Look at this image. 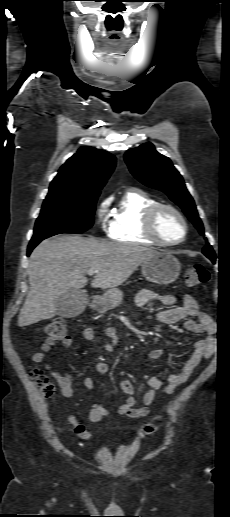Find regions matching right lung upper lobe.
Here are the masks:
<instances>
[{
	"instance_id": "obj_1",
	"label": "right lung upper lobe",
	"mask_w": 230,
	"mask_h": 517,
	"mask_svg": "<svg viewBox=\"0 0 230 517\" xmlns=\"http://www.w3.org/2000/svg\"><path fill=\"white\" fill-rule=\"evenodd\" d=\"M115 157L101 149L84 146L61 166L52 180L48 197L95 195L114 170Z\"/></svg>"
}]
</instances>
